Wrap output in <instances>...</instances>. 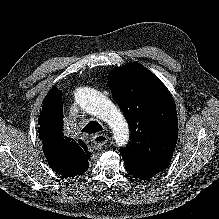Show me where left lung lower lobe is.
<instances>
[{"label": "left lung lower lobe", "instance_id": "left-lung-lower-lobe-1", "mask_svg": "<svg viewBox=\"0 0 219 219\" xmlns=\"http://www.w3.org/2000/svg\"><path fill=\"white\" fill-rule=\"evenodd\" d=\"M124 164L127 171L141 180H148L167 167L158 165L129 164L126 162H124Z\"/></svg>", "mask_w": 219, "mask_h": 219}]
</instances>
